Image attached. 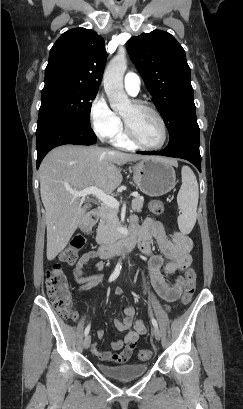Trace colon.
<instances>
[{
    "instance_id": "1",
    "label": "colon",
    "mask_w": 243,
    "mask_h": 409,
    "mask_svg": "<svg viewBox=\"0 0 243 409\" xmlns=\"http://www.w3.org/2000/svg\"><path fill=\"white\" fill-rule=\"evenodd\" d=\"M149 209L153 214H161L164 210V204L161 200H152ZM86 240L83 236L77 235L72 238L70 244L63 250L60 259L65 263L72 265L77 259L78 252L85 246ZM196 271L193 268H187L185 271L184 292L181 302L184 305L190 304L196 287ZM46 287L48 297L63 318H75L76 314L73 307V298L69 290L67 277L58 263L53 264L46 271ZM151 352L142 349L138 352V358L142 361L149 360Z\"/></svg>"
}]
</instances>
